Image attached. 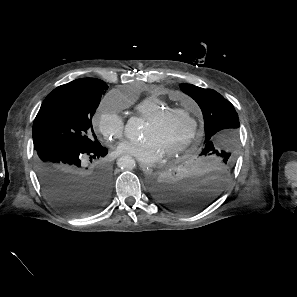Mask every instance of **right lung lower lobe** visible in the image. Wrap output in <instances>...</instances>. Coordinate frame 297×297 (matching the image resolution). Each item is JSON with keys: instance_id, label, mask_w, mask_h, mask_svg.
<instances>
[{"instance_id": "98d812e1", "label": "right lung lower lobe", "mask_w": 297, "mask_h": 297, "mask_svg": "<svg viewBox=\"0 0 297 297\" xmlns=\"http://www.w3.org/2000/svg\"><path fill=\"white\" fill-rule=\"evenodd\" d=\"M37 176L50 202L71 215L91 214L108 200L111 174L103 165L88 168L85 158L99 159L108 153L101 145L82 149L64 141L35 148Z\"/></svg>"}]
</instances>
